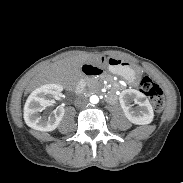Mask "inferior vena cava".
Segmentation results:
<instances>
[{"label": "inferior vena cava", "instance_id": "1", "mask_svg": "<svg viewBox=\"0 0 183 183\" xmlns=\"http://www.w3.org/2000/svg\"><path fill=\"white\" fill-rule=\"evenodd\" d=\"M88 105V99L85 96H79L75 100V106L85 107Z\"/></svg>", "mask_w": 183, "mask_h": 183}]
</instances>
